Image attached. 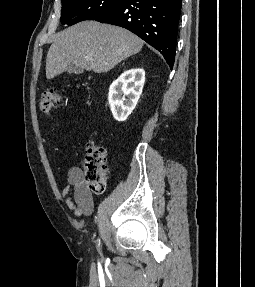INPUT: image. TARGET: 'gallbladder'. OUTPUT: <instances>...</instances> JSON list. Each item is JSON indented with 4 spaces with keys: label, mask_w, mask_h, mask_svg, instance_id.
<instances>
[{
    "label": "gallbladder",
    "mask_w": 255,
    "mask_h": 287,
    "mask_svg": "<svg viewBox=\"0 0 255 287\" xmlns=\"http://www.w3.org/2000/svg\"><path fill=\"white\" fill-rule=\"evenodd\" d=\"M67 72L68 74H73V72L74 74H83V68H78V66H73L72 64V66H68Z\"/></svg>",
    "instance_id": "1"
}]
</instances>
